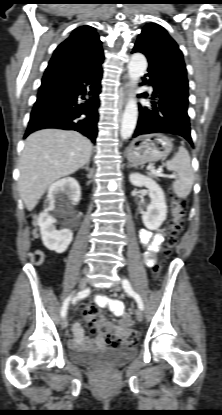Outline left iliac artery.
I'll return each mask as SVG.
<instances>
[{"label":"left iliac artery","mask_w":222,"mask_h":415,"mask_svg":"<svg viewBox=\"0 0 222 415\" xmlns=\"http://www.w3.org/2000/svg\"><path fill=\"white\" fill-rule=\"evenodd\" d=\"M122 286L124 290L127 292V294L136 300L139 309L143 310L144 309L143 301L141 297L132 289L130 282L127 279H124L122 281Z\"/></svg>","instance_id":"obj_1"}]
</instances>
